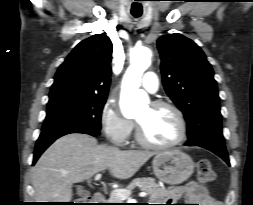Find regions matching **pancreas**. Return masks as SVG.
Segmentation results:
<instances>
[{
  "mask_svg": "<svg viewBox=\"0 0 253 205\" xmlns=\"http://www.w3.org/2000/svg\"><path fill=\"white\" fill-rule=\"evenodd\" d=\"M138 187L141 191L146 192L149 195L150 201H163L168 195V192L160 187L159 184L155 182L154 178H136L127 187L126 190L132 191L135 187ZM107 203H122V201L111 194Z\"/></svg>",
  "mask_w": 253,
  "mask_h": 205,
  "instance_id": "pancreas-1",
  "label": "pancreas"
}]
</instances>
